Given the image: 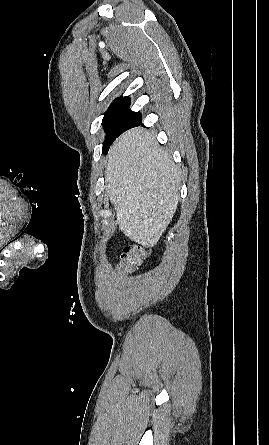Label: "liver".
<instances>
[{"instance_id": "obj_1", "label": "liver", "mask_w": 269, "mask_h": 445, "mask_svg": "<svg viewBox=\"0 0 269 445\" xmlns=\"http://www.w3.org/2000/svg\"><path fill=\"white\" fill-rule=\"evenodd\" d=\"M105 174L119 229L138 244L155 246L179 201L181 173L169 154L149 131L134 128L111 146Z\"/></svg>"}]
</instances>
